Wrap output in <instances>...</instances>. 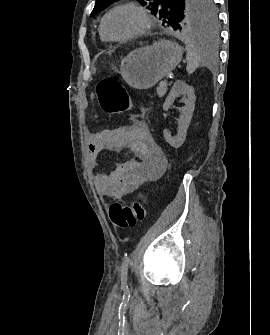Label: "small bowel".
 Segmentation results:
<instances>
[{"instance_id": "c3829d8e", "label": "small bowel", "mask_w": 270, "mask_h": 335, "mask_svg": "<svg viewBox=\"0 0 270 335\" xmlns=\"http://www.w3.org/2000/svg\"><path fill=\"white\" fill-rule=\"evenodd\" d=\"M107 147H127L136 157L117 164L108 173L96 175V188L111 198L121 199L132 194L143 183L157 179L167 167L164 152L143 122L121 126L109 134H90L89 162L93 167L98 164L100 152Z\"/></svg>"}]
</instances>
